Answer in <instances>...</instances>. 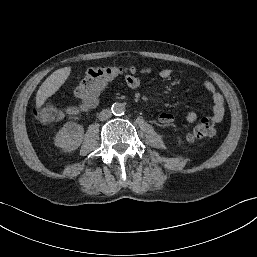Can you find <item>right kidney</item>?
Returning <instances> with one entry per match:
<instances>
[{"instance_id": "obj_1", "label": "right kidney", "mask_w": 257, "mask_h": 257, "mask_svg": "<svg viewBox=\"0 0 257 257\" xmlns=\"http://www.w3.org/2000/svg\"><path fill=\"white\" fill-rule=\"evenodd\" d=\"M83 127L75 122H67L57 133L54 143L65 152L76 150L82 143Z\"/></svg>"}]
</instances>
